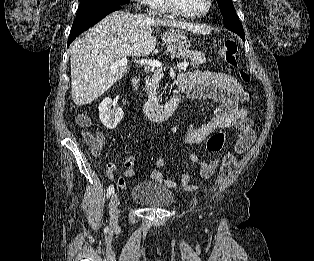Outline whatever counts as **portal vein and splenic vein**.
<instances>
[{"mask_svg": "<svg viewBox=\"0 0 314 261\" xmlns=\"http://www.w3.org/2000/svg\"><path fill=\"white\" fill-rule=\"evenodd\" d=\"M135 62L140 65H148L151 67H159V68L162 67V63L154 59H138V60H135ZM127 63H128V59L123 58L119 60L118 62H116L115 64L111 65L110 69H115L118 67L126 66ZM188 66H189L188 62H182L177 65L178 69H181V70H185Z\"/></svg>", "mask_w": 314, "mask_h": 261, "instance_id": "18ae733b", "label": "portal vein and splenic vein"}]
</instances>
